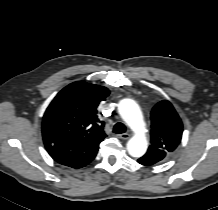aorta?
<instances>
[{
  "instance_id": "762f6f07",
  "label": "aorta",
  "mask_w": 218,
  "mask_h": 210,
  "mask_svg": "<svg viewBox=\"0 0 218 210\" xmlns=\"http://www.w3.org/2000/svg\"><path fill=\"white\" fill-rule=\"evenodd\" d=\"M118 112L126 124L134 132V136L127 142V151L132 157L145 154L148 142L145 136V123L138 104L131 99H123L118 105Z\"/></svg>"
}]
</instances>
